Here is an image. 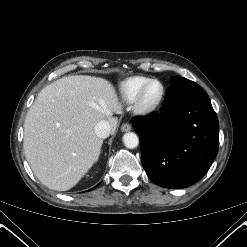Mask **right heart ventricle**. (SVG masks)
<instances>
[{
    "mask_svg": "<svg viewBox=\"0 0 247 247\" xmlns=\"http://www.w3.org/2000/svg\"><path fill=\"white\" fill-rule=\"evenodd\" d=\"M151 78L145 76H133L122 81L119 85L121 98L126 102H133L137 93Z\"/></svg>",
    "mask_w": 247,
    "mask_h": 247,
    "instance_id": "e07e8e85",
    "label": "right heart ventricle"
}]
</instances>
